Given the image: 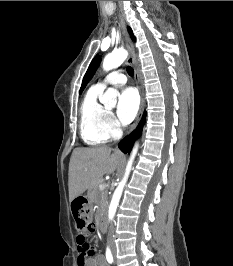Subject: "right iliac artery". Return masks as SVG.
Returning a JSON list of instances; mask_svg holds the SVG:
<instances>
[{
	"mask_svg": "<svg viewBox=\"0 0 233 266\" xmlns=\"http://www.w3.org/2000/svg\"><path fill=\"white\" fill-rule=\"evenodd\" d=\"M106 259L110 264L113 263V256H112V253L109 247H107V250H106Z\"/></svg>",
	"mask_w": 233,
	"mask_h": 266,
	"instance_id": "obj_1",
	"label": "right iliac artery"
}]
</instances>
